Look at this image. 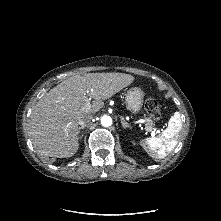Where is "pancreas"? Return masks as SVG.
Returning a JSON list of instances; mask_svg holds the SVG:
<instances>
[{
	"mask_svg": "<svg viewBox=\"0 0 221 221\" xmlns=\"http://www.w3.org/2000/svg\"><path fill=\"white\" fill-rule=\"evenodd\" d=\"M146 125L148 130H152L154 126L153 120L151 118H146Z\"/></svg>",
	"mask_w": 221,
	"mask_h": 221,
	"instance_id": "1",
	"label": "pancreas"
}]
</instances>
